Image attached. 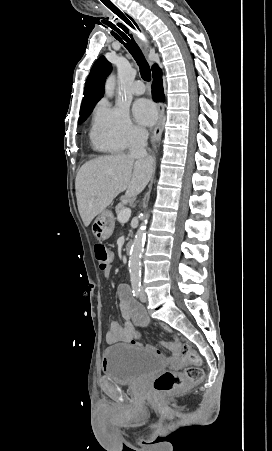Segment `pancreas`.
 <instances>
[{"instance_id":"1","label":"pancreas","mask_w":272,"mask_h":451,"mask_svg":"<svg viewBox=\"0 0 272 451\" xmlns=\"http://www.w3.org/2000/svg\"><path fill=\"white\" fill-rule=\"evenodd\" d=\"M121 200H127L129 202L128 198H125V196H122ZM127 204H118L116 206V214H120L121 210H126Z\"/></svg>"}]
</instances>
